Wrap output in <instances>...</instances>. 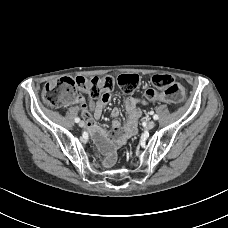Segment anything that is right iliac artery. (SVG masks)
<instances>
[{
	"mask_svg": "<svg viewBox=\"0 0 228 228\" xmlns=\"http://www.w3.org/2000/svg\"><path fill=\"white\" fill-rule=\"evenodd\" d=\"M75 122L76 123L80 122V118L79 117L75 118Z\"/></svg>",
	"mask_w": 228,
	"mask_h": 228,
	"instance_id": "right-iliac-artery-1",
	"label": "right iliac artery"
}]
</instances>
